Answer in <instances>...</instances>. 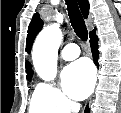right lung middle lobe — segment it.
I'll return each instance as SVG.
<instances>
[{
  "mask_svg": "<svg viewBox=\"0 0 121 113\" xmlns=\"http://www.w3.org/2000/svg\"><path fill=\"white\" fill-rule=\"evenodd\" d=\"M31 79V77L30 78H27V80H30Z\"/></svg>",
  "mask_w": 121,
  "mask_h": 113,
  "instance_id": "dd1d6c3e",
  "label": "right lung middle lobe"
}]
</instances>
